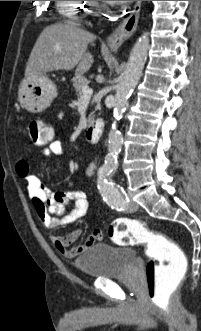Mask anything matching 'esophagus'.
<instances>
[{
	"label": "esophagus",
	"mask_w": 201,
	"mask_h": 331,
	"mask_svg": "<svg viewBox=\"0 0 201 331\" xmlns=\"http://www.w3.org/2000/svg\"><path fill=\"white\" fill-rule=\"evenodd\" d=\"M141 2L136 1L131 14L108 37V45L113 51H117L135 32L140 16Z\"/></svg>",
	"instance_id": "1"
}]
</instances>
